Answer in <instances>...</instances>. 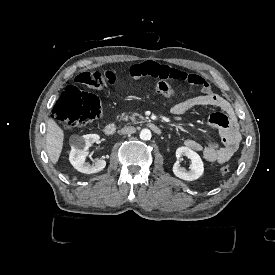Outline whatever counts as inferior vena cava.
<instances>
[{"label": "inferior vena cava", "instance_id": "1", "mask_svg": "<svg viewBox=\"0 0 275 275\" xmlns=\"http://www.w3.org/2000/svg\"><path fill=\"white\" fill-rule=\"evenodd\" d=\"M136 132V128L133 127V126H127V127H123L121 130H120V133L121 134H133Z\"/></svg>", "mask_w": 275, "mask_h": 275}]
</instances>
